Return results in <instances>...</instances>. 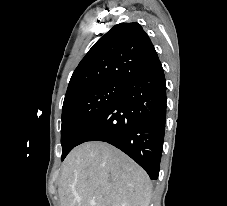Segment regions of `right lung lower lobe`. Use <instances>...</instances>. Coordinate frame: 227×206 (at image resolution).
<instances>
[{"mask_svg":"<svg viewBox=\"0 0 227 206\" xmlns=\"http://www.w3.org/2000/svg\"><path fill=\"white\" fill-rule=\"evenodd\" d=\"M166 119V81L161 62L131 76L122 94L81 137L114 145L155 180L159 175Z\"/></svg>","mask_w":227,"mask_h":206,"instance_id":"98d812e1","label":"right lung lower lobe"}]
</instances>
